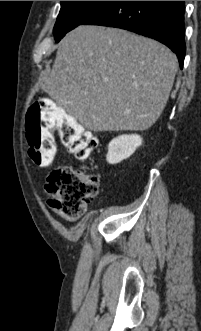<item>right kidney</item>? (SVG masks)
<instances>
[{
    "mask_svg": "<svg viewBox=\"0 0 201 331\" xmlns=\"http://www.w3.org/2000/svg\"><path fill=\"white\" fill-rule=\"evenodd\" d=\"M140 145L142 138L137 134L120 135L112 139L108 145L107 162L109 164L121 162L130 157Z\"/></svg>",
    "mask_w": 201,
    "mask_h": 331,
    "instance_id": "ca27d5eb",
    "label": "right kidney"
}]
</instances>
